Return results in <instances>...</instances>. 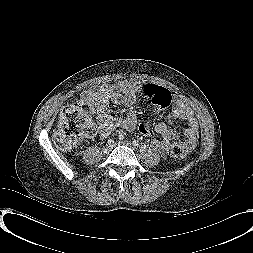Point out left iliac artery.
I'll return each instance as SVG.
<instances>
[{
    "instance_id": "left-iliac-artery-1",
    "label": "left iliac artery",
    "mask_w": 253,
    "mask_h": 253,
    "mask_svg": "<svg viewBox=\"0 0 253 253\" xmlns=\"http://www.w3.org/2000/svg\"><path fill=\"white\" fill-rule=\"evenodd\" d=\"M133 145H134V146H138V145H139L138 141L134 140V141H133Z\"/></svg>"
}]
</instances>
